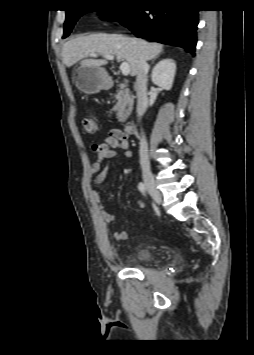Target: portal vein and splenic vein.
Instances as JSON below:
<instances>
[{
    "label": "portal vein and splenic vein",
    "instance_id": "portal-vein-and-splenic-vein-1",
    "mask_svg": "<svg viewBox=\"0 0 254 355\" xmlns=\"http://www.w3.org/2000/svg\"><path fill=\"white\" fill-rule=\"evenodd\" d=\"M90 56L96 57L97 53H91ZM104 57L108 60H113L114 56L113 55H104ZM120 70L124 76L129 75L130 73V65L127 62H122L120 65Z\"/></svg>",
    "mask_w": 254,
    "mask_h": 355
}]
</instances>
